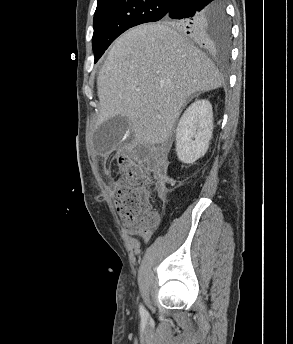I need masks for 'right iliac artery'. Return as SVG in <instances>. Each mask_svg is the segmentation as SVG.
<instances>
[{"instance_id": "82829eb1", "label": "right iliac artery", "mask_w": 293, "mask_h": 344, "mask_svg": "<svg viewBox=\"0 0 293 344\" xmlns=\"http://www.w3.org/2000/svg\"><path fill=\"white\" fill-rule=\"evenodd\" d=\"M140 314L142 316H146V314H147L146 310L144 309V307L142 305L140 306Z\"/></svg>"}]
</instances>
